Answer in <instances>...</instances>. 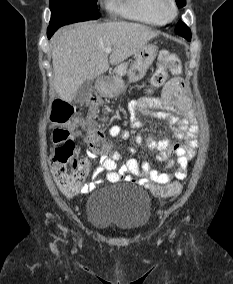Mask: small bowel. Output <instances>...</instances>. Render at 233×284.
Here are the masks:
<instances>
[{"label":"small bowel","mask_w":233,"mask_h":284,"mask_svg":"<svg viewBox=\"0 0 233 284\" xmlns=\"http://www.w3.org/2000/svg\"><path fill=\"white\" fill-rule=\"evenodd\" d=\"M131 125L135 128L141 126L138 115L156 119H165L171 124L172 135L184 141L183 144H172L168 138L148 140L149 147L156 152L159 160H170L175 166L172 173L159 172L154 170L150 164L143 161L141 164L135 158H129L123 165L119 166L120 154L117 151L104 153L100 157V169L106 171V178L111 183L119 181H136L147 189L156 185L169 184L172 180H182L186 177V167L195 157L198 147L197 134L198 126L191 109V99L188 94L186 83L181 78H173L168 81L159 98H141L131 101L128 105ZM78 135V132H75ZM111 137H119L128 140L129 131L118 125H112L108 129ZM137 145L142 144L141 136L135 137ZM127 150L134 155L136 149L128 146ZM171 156L175 159L171 160ZM88 157L94 158L96 154L88 151ZM89 166L87 159H82ZM134 177H137L135 180ZM97 181L89 182L82 186L81 193H88L95 189Z\"/></svg>","instance_id":"obj_1"}]
</instances>
